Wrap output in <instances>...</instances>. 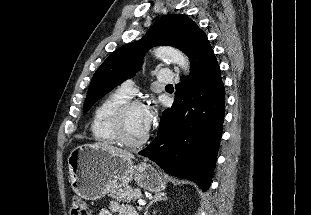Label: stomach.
<instances>
[{"instance_id":"0dacf381","label":"stomach","mask_w":311,"mask_h":215,"mask_svg":"<svg viewBox=\"0 0 311 215\" xmlns=\"http://www.w3.org/2000/svg\"><path fill=\"white\" fill-rule=\"evenodd\" d=\"M69 180L73 191L86 200H98L134 180L149 192L166 188V181L150 164L134 165L131 159L111 154L93 144L76 147L68 157Z\"/></svg>"}]
</instances>
